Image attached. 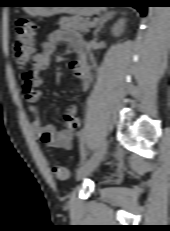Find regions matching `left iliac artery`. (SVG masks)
Wrapping results in <instances>:
<instances>
[{"label":"left iliac artery","mask_w":170,"mask_h":231,"mask_svg":"<svg viewBox=\"0 0 170 231\" xmlns=\"http://www.w3.org/2000/svg\"><path fill=\"white\" fill-rule=\"evenodd\" d=\"M85 134H86V130H85V129L81 130V132H80L81 154H82L81 162H80L81 164H83V163L86 162V152H85V150H84Z\"/></svg>","instance_id":"1"}]
</instances>
